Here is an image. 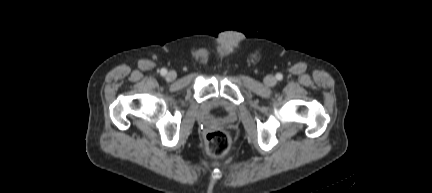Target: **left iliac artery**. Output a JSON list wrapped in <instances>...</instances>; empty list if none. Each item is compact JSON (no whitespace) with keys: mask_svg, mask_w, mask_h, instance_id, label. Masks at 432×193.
I'll return each mask as SVG.
<instances>
[{"mask_svg":"<svg viewBox=\"0 0 432 193\" xmlns=\"http://www.w3.org/2000/svg\"><path fill=\"white\" fill-rule=\"evenodd\" d=\"M276 78H277L278 80H282L283 76H282V74L278 73V74L276 75Z\"/></svg>","mask_w":432,"mask_h":193,"instance_id":"44dca946","label":"left iliac artery"}]
</instances>
